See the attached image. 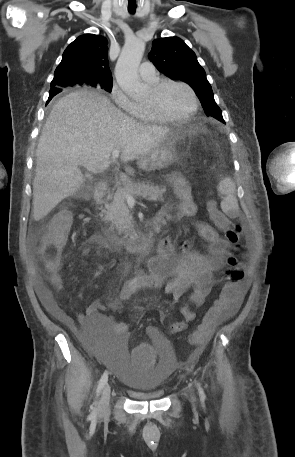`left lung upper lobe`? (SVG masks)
<instances>
[{
    "instance_id": "5c2ea615",
    "label": "left lung upper lobe",
    "mask_w": 295,
    "mask_h": 457,
    "mask_svg": "<svg viewBox=\"0 0 295 457\" xmlns=\"http://www.w3.org/2000/svg\"><path fill=\"white\" fill-rule=\"evenodd\" d=\"M149 58L165 76L190 85L207 116L225 123L204 69L197 61L194 51L181 38L166 37L154 40Z\"/></svg>"
}]
</instances>
